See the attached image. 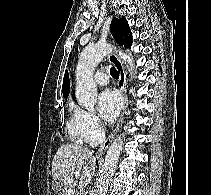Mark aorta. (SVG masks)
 <instances>
[{
  "label": "aorta",
  "mask_w": 211,
  "mask_h": 195,
  "mask_svg": "<svg viewBox=\"0 0 211 195\" xmlns=\"http://www.w3.org/2000/svg\"><path fill=\"white\" fill-rule=\"evenodd\" d=\"M113 48L108 43H97L93 46L86 47L79 58L76 67V98L79 104L89 111H93L97 100V86L93 81V73L98 63ZM122 61L127 64L128 68L133 72L135 69L131 55L122 51L119 52ZM125 134L119 135L109 147L104 164L102 166L101 175L96 189L95 195H106L109 181L115 172L117 161L123 149V140Z\"/></svg>",
  "instance_id": "1"
}]
</instances>
